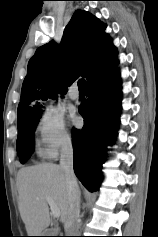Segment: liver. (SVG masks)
Returning <instances> with one entry per match:
<instances>
[{
  "label": "liver",
  "instance_id": "liver-1",
  "mask_svg": "<svg viewBox=\"0 0 158 237\" xmlns=\"http://www.w3.org/2000/svg\"><path fill=\"white\" fill-rule=\"evenodd\" d=\"M16 184L18 208L28 236H41L50 224L46 197L53 199L65 223L68 211V189L64 170L60 165L41 163L21 168Z\"/></svg>",
  "mask_w": 158,
  "mask_h": 237
}]
</instances>
